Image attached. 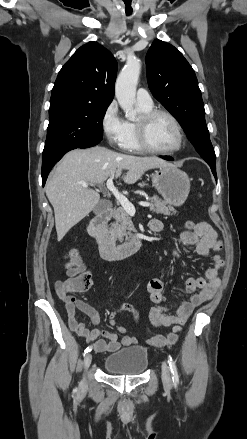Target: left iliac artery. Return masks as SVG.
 Instances as JSON below:
<instances>
[{
	"label": "left iliac artery",
	"mask_w": 247,
	"mask_h": 439,
	"mask_svg": "<svg viewBox=\"0 0 247 439\" xmlns=\"http://www.w3.org/2000/svg\"><path fill=\"white\" fill-rule=\"evenodd\" d=\"M168 363H169V367H170V370H171V373H172L173 382L175 384H177V383H179L178 371H177L176 364H175V362H174V360L172 359L171 356H169V358H168Z\"/></svg>",
	"instance_id": "obj_1"
}]
</instances>
